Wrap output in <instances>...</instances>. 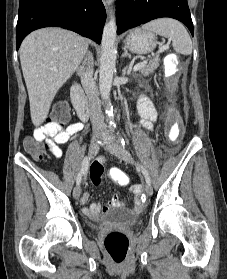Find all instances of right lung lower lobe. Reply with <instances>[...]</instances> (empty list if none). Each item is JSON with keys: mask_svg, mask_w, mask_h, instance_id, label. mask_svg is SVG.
<instances>
[{"mask_svg": "<svg viewBox=\"0 0 227 279\" xmlns=\"http://www.w3.org/2000/svg\"><path fill=\"white\" fill-rule=\"evenodd\" d=\"M106 12L101 0H20L16 47L32 31L62 27L101 42Z\"/></svg>", "mask_w": 227, "mask_h": 279, "instance_id": "98d812e1", "label": "right lung lower lobe"}]
</instances>
